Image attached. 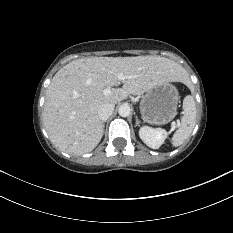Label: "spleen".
<instances>
[{"mask_svg": "<svg viewBox=\"0 0 233 233\" xmlns=\"http://www.w3.org/2000/svg\"><path fill=\"white\" fill-rule=\"evenodd\" d=\"M183 116L181 124L172 136L174 147L182 145L192 133L196 122V105L193 96L188 95L183 100Z\"/></svg>", "mask_w": 233, "mask_h": 233, "instance_id": "3e777b00", "label": "spleen"}]
</instances>
